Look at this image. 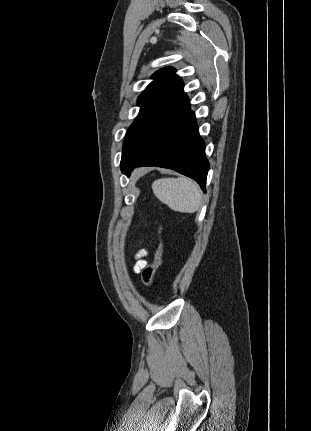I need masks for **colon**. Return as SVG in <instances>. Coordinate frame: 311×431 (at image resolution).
<instances>
[{
	"label": "colon",
	"instance_id": "obj_1",
	"mask_svg": "<svg viewBox=\"0 0 311 431\" xmlns=\"http://www.w3.org/2000/svg\"><path fill=\"white\" fill-rule=\"evenodd\" d=\"M164 230V226H160L158 228V235H159V239H160V246H159V250L156 254V257L153 261V263L149 266H147L142 273L143 276V280L145 282L146 285L151 286L153 284L154 281V277L157 273V271L162 267V265L164 264L165 261V257H166V244L162 238V233Z\"/></svg>",
	"mask_w": 311,
	"mask_h": 431
}]
</instances>
